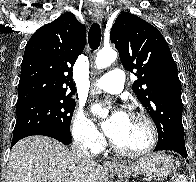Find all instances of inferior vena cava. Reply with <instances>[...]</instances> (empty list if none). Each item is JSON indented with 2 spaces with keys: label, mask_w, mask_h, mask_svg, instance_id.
Listing matches in <instances>:
<instances>
[{
  "label": "inferior vena cava",
  "mask_w": 196,
  "mask_h": 182,
  "mask_svg": "<svg viewBox=\"0 0 196 182\" xmlns=\"http://www.w3.org/2000/svg\"><path fill=\"white\" fill-rule=\"evenodd\" d=\"M72 155L76 161L92 159V156L83 140H76L72 143Z\"/></svg>",
  "instance_id": "inferior-vena-cava-1"
}]
</instances>
